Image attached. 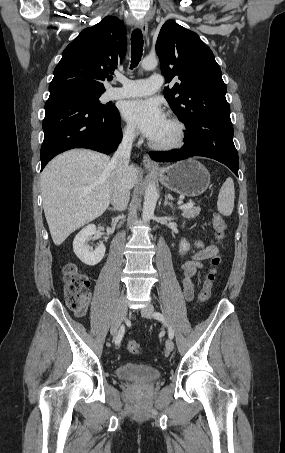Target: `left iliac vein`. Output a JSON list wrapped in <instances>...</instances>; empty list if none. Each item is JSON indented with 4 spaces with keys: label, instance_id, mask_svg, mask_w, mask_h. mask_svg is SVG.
Wrapping results in <instances>:
<instances>
[{
    "label": "left iliac vein",
    "instance_id": "obj_1",
    "mask_svg": "<svg viewBox=\"0 0 285 453\" xmlns=\"http://www.w3.org/2000/svg\"><path fill=\"white\" fill-rule=\"evenodd\" d=\"M153 312H154V307L151 304H147L141 310L142 316H144L145 318H149V319L152 318ZM165 345H166V349L168 351H172L174 349V342L171 339H167Z\"/></svg>",
    "mask_w": 285,
    "mask_h": 453
}]
</instances>
